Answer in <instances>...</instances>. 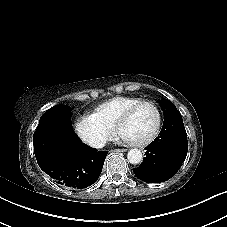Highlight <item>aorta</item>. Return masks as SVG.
I'll return each instance as SVG.
<instances>
[{
	"label": "aorta",
	"mask_w": 227,
	"mask_h": 227,
	"mask_svg": "<svg viewBox=\"0 0 227 227\" xmlns=\"http://www.w3.org/2000/svg\"><path fill=\"white\" fill-rule=\"evenodd\" d=\"M128 161L132 164H138L142 161V152L138 148H132L127 154Z\"/></svg>",
	"instance_id": "aorta-1"
}]
</instances>
